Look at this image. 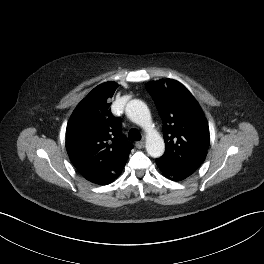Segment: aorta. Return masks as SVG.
Masks as SVG:
<instances>
[{
    "label": "aorta",
    "instance_id": "1",
    "mask_svg": "<svg viewBox=\"0 0 264 264\" xmlns=\"http://www.w3.org/2000/svg\"><path fill=\"white\" fill-rule=\"evenodd\" d=\"M126 115L137 125L147 131L146 150L153 158H158L165 151L164 140L161 135L152 129L151 114L147 105L141 100H131L126 105Z\"/></svg>",
    "mask_w": 264,
    "mask_h": 264
}]
</instances>
